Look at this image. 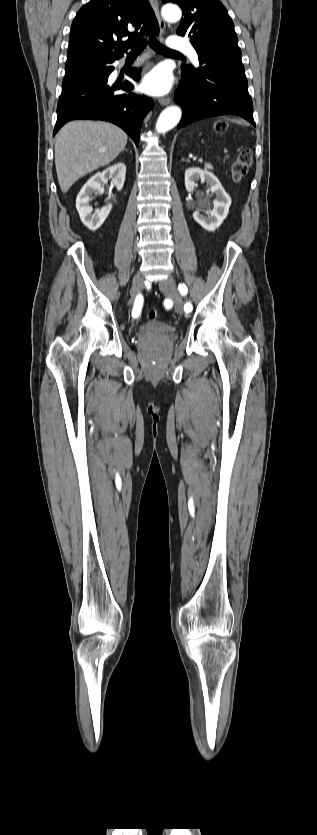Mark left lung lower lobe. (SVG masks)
<instances>
[{"instance_id":"obj_1","label":"left lung lower lobe","mask_w":317,"mask_h":835,"mask_svg":"<svg viewBox=\"0 0 317 835\" xmlns=\"http://www.w3.org/2000/svg\"><path fill=\"white\" fill-rule=\"evenodd\" d=\"M199 67L182 65L175 101L184 114L177 128L202 118L233 114L253 126V103L248 93L241 55L197 51Z\"/></svg>"}]
</instances>
